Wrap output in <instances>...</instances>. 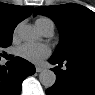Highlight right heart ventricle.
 Masks as SVG:
<instances>
[{"instance_id": "right-heart-ventricle-1", "label": "right heart ventricle", "mask_w": 95, "mask_h": 95, "mask_svg": "<svg viewBox=\"0 0 95 95\" xmlns=\"http://www.w3.org/2000/svg\"><path fill=\"white\" fill-rule=\"evenodd\" d=\"M36 25L39 28L40 31H42L43 29H45L46 27H53L54 28V24L53 22L46 17H40L36 20Z\"/></svg>"}]
</instances>
